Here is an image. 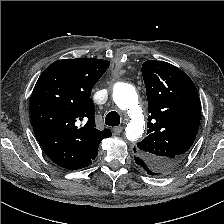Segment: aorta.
<instances>
[{
  "label": "aorta",
  "mask_w": 224,
  "mask_h": 224,
  "mask_svg": "<svg viewBox=\"0 0 224 224\" xmlns=\"http://www.w3.org/2000/svg\"><path fill=\"white\" fill-rule=\"evenodd\" d=\"M113 100L121 110H127L130 122L125 128L126 138L136 141L144 133V118L138 105V95L133 86L117 83L113 88Z\"/></svg>",
  "instance_id": "aorta-1"
}]
</instances>
